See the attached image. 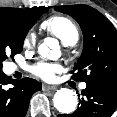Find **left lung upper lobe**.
I'll list each match as a JSON object with an SVG mask.
<instances>
[{"label":"left lung upper lobe","instance_id":"left-lung-upper-lobe-1","mask_svg":"<svg viewBox=\"0 0 117 117\" xmlns=\"http://www.w3.org/2000/svg\"><path fill=\"white\" fill-rule=\"evenodd\" d=\"M55 10L72 16L83 32L84 48L72 78L86 83L117 81V31L112 23L87 5H65Z\"/></svg>","mask_w":117,"mask_h":117}]
</instances>
